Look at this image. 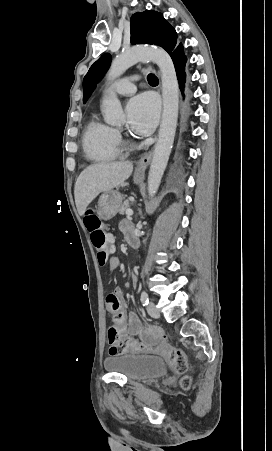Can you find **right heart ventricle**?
<instances>
[{
    "mask_svg": "<svg viewBox=\"0 0 272 451\" xmlns=\"http://www.w3.org/2000/svg\"><path fill=\"white\" fill-rule=\"evenodd\" d=\"M118 137L107 123L93 119L84 135V149L89 159L107 161L116 155Z\"/></svg>",
    "mask_w": 272,
    "mask_h": 451,
    "instance_id": "1",
    "label": "right heart ventricle"
}]
</instances>
